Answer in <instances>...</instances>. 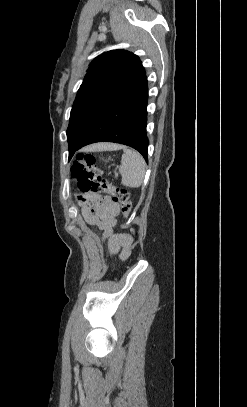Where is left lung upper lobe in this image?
Returning a JSON list of instances; mask_svg holds the SVG:
<instances>
[{
  "instance_id": "1",
  "label": "left lung upper lobe",
  "mask_w": 247,
  "mask_h": 407,
  "mask_svg": "<svg viewBox=\"0 0 247 407\" xmlns=\"http://www.w3.org/2000/svg\"><path fill=\"white\" fill-rule=\"evenodd\" d=\"M143 73L139 57L121 49L105 52L92 61L70 114L69 158L104 109Z\"/></svg>"
}]
</instances>
